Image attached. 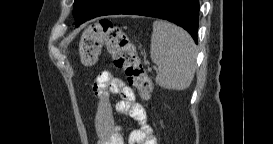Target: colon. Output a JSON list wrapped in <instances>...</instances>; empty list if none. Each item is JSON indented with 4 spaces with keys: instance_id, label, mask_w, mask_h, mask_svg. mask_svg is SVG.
<instances>
[{
    "instance_id": "5ec220e1",
    "label": "colon",
    "mask_w": 273,
    "mask_h": 144,
    "mask_svg": "<svg viewBox=\"0 0 273 144\" xmlns=\"http://www.w3.org/2000/svg\"><path fill=\"white\" fill-rule=\"evenodd\" d=\"M106 45L114 66L122 70L131 86L143 99H148L152 83L137 55L135 46L124 31L109 19H100L88 26L82 33L79 53L82 64L94 65L102 47Z\"/></svg>"
}]
</instances>
